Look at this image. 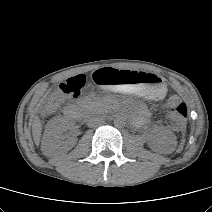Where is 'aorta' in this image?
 <instances>
[{"instance_id": "aorta-1", "label": "aorta", "mask_w": 212, "mask_h": 212, "mask_svg": "<svg viewBox=\"0 0 212 212\" xmlns=\"http://www.w3.org/2000/svg\"><path fill=\"white\" fill-rule=\"evenodd\" d=\"M126 121H125V118L123 116H117L115 119H114V124L116 126H123L125 125Z\"/></svg>"}]
</instances>
